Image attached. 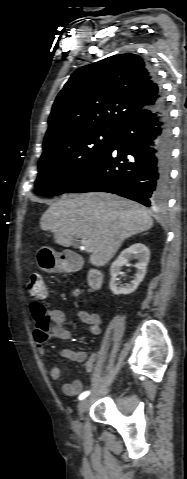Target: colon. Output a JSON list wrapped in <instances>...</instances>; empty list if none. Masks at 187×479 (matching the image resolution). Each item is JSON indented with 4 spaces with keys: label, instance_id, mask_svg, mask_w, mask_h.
Instances as JSON below:
<instances>
[{
    "label": "colon",
    "instance_id": "1",
    "mask_svg": "<svg viewBox=\"0 0 187 479\" xmlns=\"http://www.w3.org/2000/svg\"><path fill=\"white\" fill-rule=\"evenodd\" d=\"M27 293L33 299H44L48 295V289L41 273H32L27 282ZM35 322L36 337L40 340L48 337L52 321L50 311L41 303H33L30 306Z\"/></svg>",
    "mask_w": 187,
    "mask_h": 479
}]
</instances>
